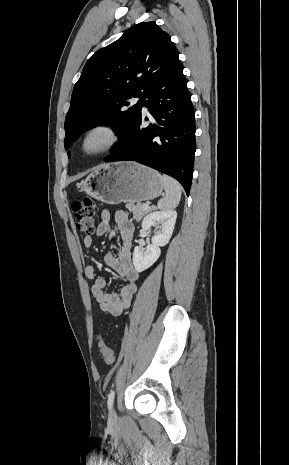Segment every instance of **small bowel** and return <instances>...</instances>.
I'll return each instance as SVG.
<instances>
[{
  "mask_svg": "<svg viewBox=\"0 0 289 465\" xmlns=\"http://www.w3.org/2000/svg\"><path fill=\"white\" fill-rule=\"evenodd\" d=\"M110 220V212L103 210L100 214V222L96 228L98 236H102L109 231ZM114 220L121 236V246L118 254L114 255L109 252L105 255L104 261L123 280L120 291L118 293L107 292L105 279L95 272L93 266H86L84 273L92 281L91 293L98 303L100 311L112 316H118L129 306L132 296L137 289L139 274L132 262L134 226L123 211H117L114 215ZM114 235L115 232L111 231L110 236L113 237ZM93 242L94 239L92 236H85L83 246L89 249L93 246Z\"/></svg>",
  "mask_w": 289,
  "mask_h": 465,
  "instance_id": "c3829d8e",
  "label": "small bowel"
}]
</instances>
